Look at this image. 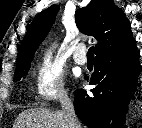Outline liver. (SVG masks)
Returning <instances> with one entry per match:
<instances>
[{
  "instance_id": "6515ba94",
  "label": "liver",
  "mask_w": 142,
  "mask_h": 128,
  "mask_svg": "<svg viewBox=\"0 0 142 128\" xmlns=\"http://www.w3.org/2000/svg\"><path fill=\"white\" fill-rule=\"evenodd\" d=\"M13 128H69V123L62 111L39 108L20 113Z\"/></svg>"
}]
</instances>
